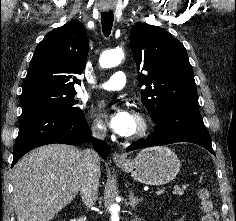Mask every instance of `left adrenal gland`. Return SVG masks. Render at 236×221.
<instances>
[{"mask_svg":"<svg viewBox=\"0 0 236 221\" xmlns=\"http://www.w3.org/2000/svg\"><path fill=\"white\" fill-rule=\"evenodd\" d=\"M143 198H138L137 196L134 195L133 190H129V205L135 210L137 204L139 202H142Z\"/></svg>","mask_w":236,"mask_h":221,"instance_id":"left-adrenal-gland-1","label":"left adrenal gland"}]
</instances>
